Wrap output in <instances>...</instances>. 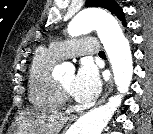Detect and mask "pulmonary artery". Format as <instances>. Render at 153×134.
<instances>
[{"instance_id": "e3ab8cb5", "label": "pulmonary artery", "mask_w": 153, "mask_h": 134, "mask_svg": "<svg viewBox=\"0 0 153 134\" xmlns=\"http://www.w3.org/2000/svg\"><path fill=\"white\" fill-rule=\"evenodd\" d=\"M50 50L60 59L83 54H98V42L93 37H84L61 42H54Z\"/></svg>"}]
</instances>
